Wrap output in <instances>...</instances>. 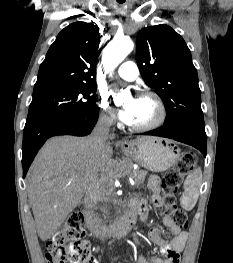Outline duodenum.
<instances>
[{
	"instance_id": "duodenum-1",
	"label": "duodenum",
	"mask_w": 233,
	"mask_h": 263,
	"mask_svg": "<svg viewBox=\"0 0 233 263\" xmlns=\"http://www.w3.org/2000/svg\"><path fill=\"white\" fill-rule=\"evenodd\" d=\"M138 209L134 202H131L127 213L118 222L112 226H102L95 219L93 212L90 208L84 210L85 225L91 235L97 239H108L111 237H123L132 229Z\"/></svg>"
}]
</instances>
